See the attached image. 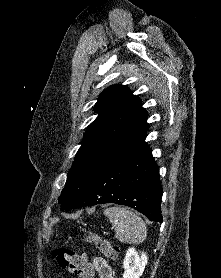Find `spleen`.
<instances>
[{
	"mask_svg": "<svg viewBox=\"0 0 221 278\" xmlns=\"http://www.w3.org/2000/svg\"><path fill=\"white\" fill-rule=\"evenodd\" d=\"M104 215L115 227V237L122 243L142 242L147 235L144 221L135 213L124 207H109Z\"/></svg>",
	"mask_w": 221,
	"mask_h": 278,
	"instance_id": "obj_1",
	"label": "spleen"
}]
</instances>
